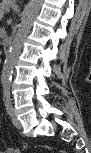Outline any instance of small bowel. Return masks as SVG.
<instances>
[{"label": "small bowel", "instance_id": "1", "mask_svg": "<svg viewBox=\"0 0 91 153\" xmlns=\"http://www.w3.org/2000/svg\"><path fill=\"white\" fill-rule=\"evenodd\" d=\"M6 152L7 153H17L18 150L17 149H8Z\"/></svg>", "mask_w": 91, "mask_h": 153}]
</instances>
